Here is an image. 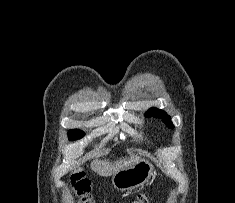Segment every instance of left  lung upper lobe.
Returning a JSON list of instances; mask_svg holds the SVG:
<instances>
[{
	"label": "left lung upper lobe",
	"instance_id": "obj_1",
	"mask_svg": "<svg viewBox=\"0 0 235 203\" xmlns=\"http://www.w3.org/2000/svg\"><path fill=\"white\" fill-rule=\"evenodd\" d=\"M146 116H154V117H158V118H163L165 124L169 127V128H174L172 122H171V118L170 116L167 115V113H165L164 111L160 110V109H156V108H151L149 109L146 113Z\"/></svg>",
	"mask_w": 235,
	"mask_h": 203
}]
</instances>
